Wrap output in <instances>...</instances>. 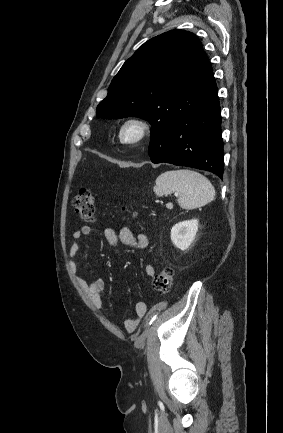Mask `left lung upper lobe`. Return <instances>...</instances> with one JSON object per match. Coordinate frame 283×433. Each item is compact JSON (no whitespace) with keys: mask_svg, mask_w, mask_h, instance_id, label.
<instances>
[{"mask_svg":"<svg viewBox=\"0 0 283 433\" xmlns=\"http://www.w3.org/2000/svg\"><path fill=\"white\" fill-rule=\"evenodd\" d=\"M208 62L193 33L171 30L156 36L121 67L97 117H141L153 129L171 125L197 109L199 81Z\"/></svg>","mask_w":283,"mask_h":433,"instance_id":"5c2ea615","label":"left lung upper lobe"}]
</instances>
